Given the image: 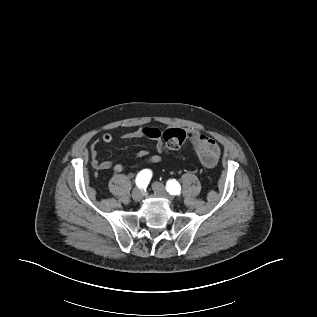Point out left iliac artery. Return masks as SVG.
Instances as JSON below:
<instances>
[{
	"label": "left iliac artery",
	"mask_w": 317,
	"mask_h": 317,
	"mask_svg": "<svg viewBox=\"0 0 317 317\" xmlns=\"http://www.w3.org/2000/svg\"><path fill=\"white\" fill-rule=\"evenodd\" d=\"M166 190L171 195H179L181 192V186L175 179L169 180L166 184Z\"/></svg>",
	"instance_id": "left-iliac-artery-1"
}]
</instances>
